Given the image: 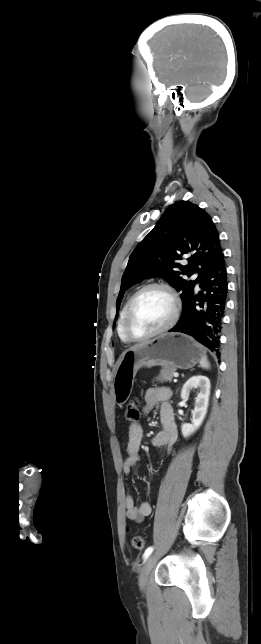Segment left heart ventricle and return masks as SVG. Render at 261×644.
<instances>
[{
	"label": "left heart ventricle",
	"instance_id": "left-heart-ventricle-1",
	"mask_svg": "<svg viewBox=\"0 0 261 644\" xmlns=\"http://www.w3.org/2000/svg\"><path fill=\"white\" fill-rule=\"evenodd\" d=\"M172 309L171 298L165 291L157 288L145 291L134 305L129 323L131 332L144 336L161 328L170 319Z\"/></svg>",
	"mask_w": 261,
	"mask_h": 644
}]
</instances>
